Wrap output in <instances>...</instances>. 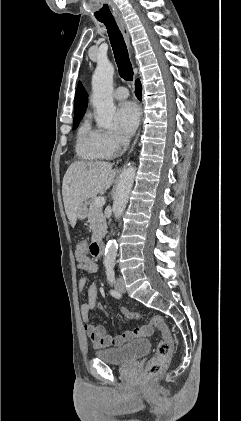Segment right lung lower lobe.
<instances>
[{
	"instance_id": "right-lung-lower-lobe-1",
	"label": "right lung lower lobe",
	"mask_w": 241,
	"mask_h": 421,
	"mask_svg": "<svg viewBox=\"0 0 241 421\" xmlns=\"http://www.w3.org/2000/svg\"><path fill=\"white\" fill-rule=\"evenodd\" d=\"M141 84L140 81L137 79L135 82V93L138 99L141 100Z\"/></svg>"
}]
</instances>
